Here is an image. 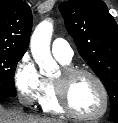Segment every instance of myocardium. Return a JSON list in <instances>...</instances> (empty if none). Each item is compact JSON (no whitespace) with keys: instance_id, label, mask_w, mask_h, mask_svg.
<instances>
[{"instance_id":"f54148a6","label":"myocardium","mask_w":118,"mask_h":123,"mask_svg":"<svg viewBox=\"0 0 118 123\" xmlns=\"http://www.w3.org/2000/svg\"><path fill=\"white\" fill-rule=\"evenodd\" d=\"M79 76H88L95 81L101 90L103 96L102 110L95 115H84L76 111L70 103L68 90L70 83ZM53 87L56 96V100L60 108L73 118L85 121H95L104 117L109 109V93L101 78L94 72L76 67H64L61 71V78L59 80H53Z\"/></svg>"}]
</instances>
